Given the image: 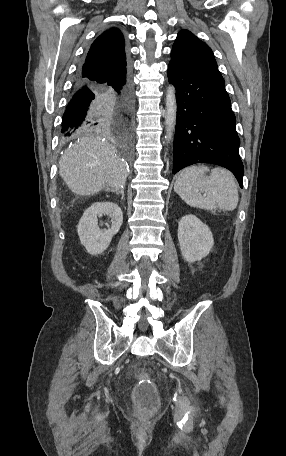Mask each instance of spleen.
<instances>
[{
  "label": "spleen",
  "mask_w": 286,
  "mask_h": 456,
  "mask_svg": "<svg viewBox=\"0 0 286 456\" xmlns=\"http://www.w3.org/2000/svg\"><path fill=\"white\" fill-rule=\"evenodd\" d=\"M191 166L184 169L174 185L175 192L191 207L232 211L238 205L237 182L226 169ZM202 192L205 195L202 196Z\"/></svg>",
  "instance_id": "1"
}]
</instances>
